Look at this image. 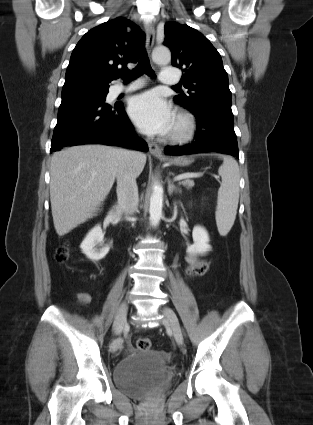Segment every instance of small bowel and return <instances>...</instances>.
Masks as SVG:
<instances>
[{"label": "small bowel", "mask_w": 313, "mask_h": 425, "mask_svg": "<svg viewBox=\"0 0 313 425\" xmlns=\"http://www.w3.org/2000/svg\"><path fill=\"white\" fill-rule=\"evenodd\" d=\"M186 262L188 263V267L191 266H199L201 265L203 262H201L200 260H198L195 256L193 255H188L186 257ZM78 299L79 301L83 304L86 305L91 301V296L88 293H79L78 294Z\"/></svg>", "instance_id": "1"}]
</instances>
